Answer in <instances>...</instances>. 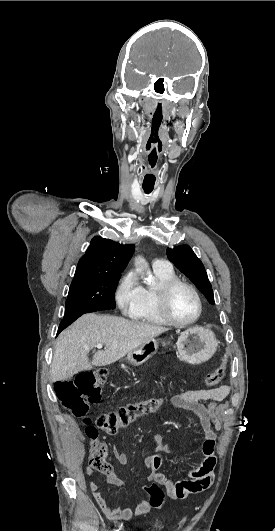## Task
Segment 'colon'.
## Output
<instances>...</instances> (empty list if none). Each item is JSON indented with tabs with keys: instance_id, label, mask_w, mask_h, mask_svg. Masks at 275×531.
I'll return each mask as SVG.
<instances>
[{
	"instance_id": "5ec220e1",
	"label": "colon",
	"mask_w": 275,
	"mask_h": 531,
	"mask_svg": "<svg viewBox=\"0 0 275 531\" xmlns=\"http://www.w3.org/2000/svg\"><path fill=\"white\" fill-rule=\"evenodd\" d=\"M231 356V351H224L216 368L209 372L205 378L208 387L213 388L222 381ZM107 378L108 371L106 369H89L78 373L73 381L58 380L54 384V394L61 404L74 416L83 419V422L86 425L87 437L93 447L99 445L98 431L93 425L94 421L89 415V405L97 403L100 400L101 387L106 384ZM160 405L161 401L158 398L141 400L113 412L100 413L97 415L96 420H99L103 425L105 434H114L120 428L127 426L136 418L156 412ZM103 453V450L95 452V469L109 468V464L102 458ZM143 489L150 494H153L152 499L157 502L155 505L148 503L149 510L160 511L164 506V503L161 501L163 494L162 489L156 488L155 484L152 482L143 484Z\"/></svg>"
}]
</instances>
